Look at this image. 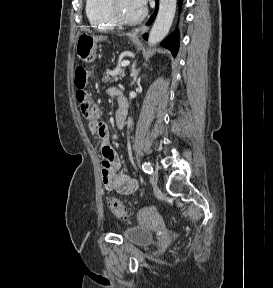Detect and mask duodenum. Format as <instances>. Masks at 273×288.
I'll use <instances>...</instances> for the list:
<instances>
[{
  "label": "duodenum",
  "mask_w": 273,
  "mask_h": 288,
  "mask_svg": "<svg viewBox=\"0 0 273 288\" xmlns=\"http://www.w3.org/2000/svg\"><path fill=\"white\" fill-rule=\"evenodd\" d=\"M118 103H119V113H118V121H125L127 111H128V103L125 96L119 92L118 93Z\"/></svg>",
  "instance_id": "1"
}]
</instances>
